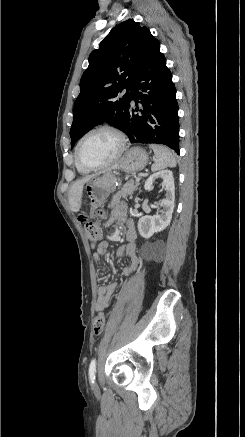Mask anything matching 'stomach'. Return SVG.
<instances>
[{
  "label": "stomach",
  "mask_w": 245,
  "mask_h": 437,
  "mask_svg": "<svg viewBox=\"0 0 245 437\" xmlns=\"http://www.w3.org/2000/svg\"><path fill=\"white\" fill-rule=\"evenodd\" d=\"M148 160V154L143 148L133 147L126 152L118 169L127 173H135L143 170ZM118 174L117 170H109L102 176H92L86 183L85 191L93 211L103 204L110 193L115 191L116 184L119 182Z\"/></svg>",
  "instance_id": "0dacf381"
}]
</instances>
